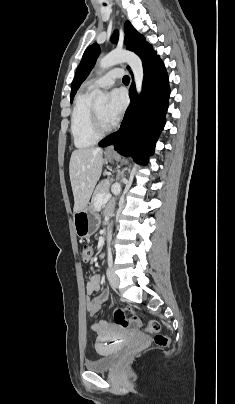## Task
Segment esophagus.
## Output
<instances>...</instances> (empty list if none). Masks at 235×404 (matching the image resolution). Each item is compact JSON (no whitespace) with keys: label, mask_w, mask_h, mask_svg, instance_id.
Instances as JSON below:
<instances>
[{"label":"esophagus","mask_w":235,"mask_h":404,"mask_svg":"<svg viewBox=\"0 0 235 404\" xmlns=\"http://www.w3.org/2000/svg\"><path fill=\"white\" fill-rule=\"evenodd\" d=\"M114 153H115V150H114V146H113V145L108 146V147L106 148V150H105V154H107V155H111V154H114Z\"/></svg>","instance_id":"obj_1"}]
</instances>
